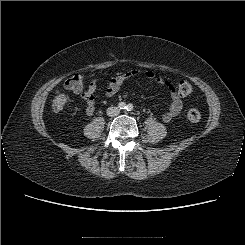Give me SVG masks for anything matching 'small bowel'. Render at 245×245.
I'll use <instances>...</instances> for the list:
<instances>
[{"label": "small bowel", "mask_w": 245, "mask_h": 245, "mask_svg": "<svg viewBox=\"0 0 245 245\" xmlns=\"http://www.w3.org/2000/svg\"><path fill=\"white\" fill-rule=\"evenodd\" d=\"M138 73H139L138 70L133 69L125 73L113 76L106 88L105 91L106 97L108 98L113 97L119 91V89L121 88V86L126 80L137 76ZM146 77L150 80H156L167 92L169 96V106L167 111L163 114L162 119L166 123L170 122L182 110L183 102L180 95L177 93L176 89L170 82L157 77L154 72L151 71L147 72ZM96 89H97V84L96 81L94 80L89 84L87 90L81 94L82 98L86 103L85 111L88 116H92L95 112Z\"/></svg>", "instance_id": "1"}]
</instances>
